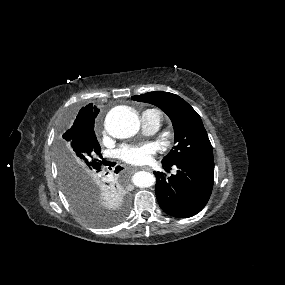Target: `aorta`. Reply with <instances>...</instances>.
<instances>
[{"instance_id": "1", "label": "aorta", "mask_w": 285, "mask_h": 285, "mask_svg": "<svg viewBox=\"0 0 285 285\" xmlns=\"http://www.w3.org/2000/svg\"><path fill=\"white\" fill-rule=\"evenodd\" d=\"M140 127L139 117L134 109L128 106L112 108L105 118L107 132L115 138L124 139L137 133ZM132 182L140 188H148L155 184V176L146 171H139L132 177Z\"/></svg>"}]
</instances>
